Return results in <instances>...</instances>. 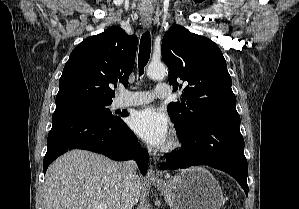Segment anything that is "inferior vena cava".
<instances>
[{"label": "inferior vena cava", "mask_w": 299, "mask_h": 209, "mask_svg": "<svg viewBox=\"0 0 299 209\" xmlns=\"http://www.w3.org/2000/svg\"><path fill=\"white\" fill-rule=\"evenodd\" d=\"M120 169L122 171L126 189L129 190L132 187L133 181L137 177L136 169L137 165L134 160H130L124 163H121ZM132 202L128 197L123 199L122 204L120 205V209H132Z\"/></svg>", "instance_id": "obj_1"}]
</instances>
